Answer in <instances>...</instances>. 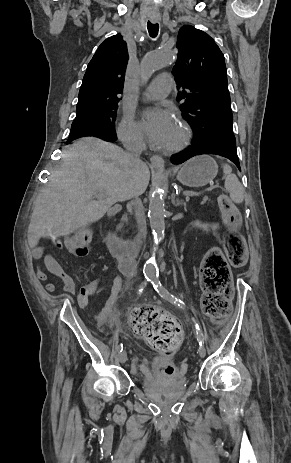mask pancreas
I'll list each match as a JSON object with an SVG mask.
<instances>
[{"instance_id": "obj_1", "label": "pancreas", "mask_w": 291, "mask_h": 463, "mask_svg": "<svg viewBox=\"0 0 291 463\" xmlns=\"http://www.w3.org/2000/svg\"><path fill=\"white\" fill-rule=\"evenodd\" d=\"M127 219H128V218H127V215H123V216H122V220H123V221H125V222H126V221H127Z\"/></svg>"}]
</instances>
